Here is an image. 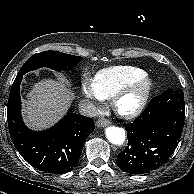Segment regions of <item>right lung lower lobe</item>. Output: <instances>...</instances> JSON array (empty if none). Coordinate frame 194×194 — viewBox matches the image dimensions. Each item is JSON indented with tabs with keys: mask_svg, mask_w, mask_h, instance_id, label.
Segmentation results:
<instances>
[{
	"mask_svg": "<svg viewBox=\"0 0 194 194\" xmlns=\"http://www.w3.org/2000/svg\"><path fill=\"white\" fill-rule=\"evenodd\" d=\"M17 74L11 87L8 106V128L21 156L33 167L54 174L70 172L78 163L83 145L94 130L91 118L68 112L46 131L29 130L22 121L20 82Z\"/></svg>",
	"mask_w": 194,
	"mask_h": 194,
	"instance_id": "obj_1",
	"label": "right lung lower lobe"
}]
</instances>
